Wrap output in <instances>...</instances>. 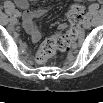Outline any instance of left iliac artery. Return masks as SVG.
I'll return each mask as SVG.
<instances>
[{"mask_svg":"<svg viewBox=\"0 0 103 103\" xmlns=\"http://www.w3.org/2000/svg\"><path fill=\"white\" fill-rule=\"evenodd\" d=\"M86 19H87V20H91V19H92L91 13H87V14H86Z\"/></svg>","mask_w":103,"mask_h":103,"instance_id":"obj_1","label":"left iliac artery"}]
</instances>
